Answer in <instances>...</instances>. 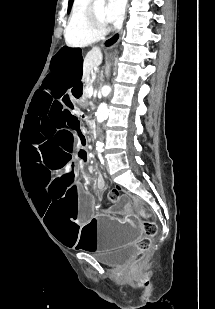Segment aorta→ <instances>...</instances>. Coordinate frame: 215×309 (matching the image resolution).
Masks as SVG:
<instances>
[{"instance_id": "1", "label": "aorta", "mask_w": 215, "mask_h": 309, "mask_svg": "<svg viewBox=\"0 0 215 309\" xmlns=\"http://www.w3.org/2000/svg\"><path fill=\"white\" fill-rule=\"evenodd\" d=\"M95 6H99V8H103L105 4V0H94ZM111 90V86L109 84H105V86H102V94H109ZM97 120L98 122H103L105 118L108 116V106L106 102H100L97 112H96ZM103 142H97V148H102Z\"/></svg>"}]
</instances>
